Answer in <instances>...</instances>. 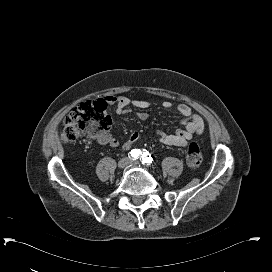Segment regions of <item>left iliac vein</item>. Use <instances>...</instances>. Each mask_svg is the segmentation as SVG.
Instances as JSON below:
<instances>
[{"mask_svg":"<svg viewBox=\"0 0 272 272\" xmlns=\"http://www.w3.org/2000/svg\"><path fill=\"white\" fill-rule=\"evenodd\" d=\"M130 164L133 165V166H139V165H140V162L137 161V160H131V161H130Z\"/></svg>","mask_w":272,"mask_h":272,"instance_id":"1","label":"left iliac vein"}]
</instances>
